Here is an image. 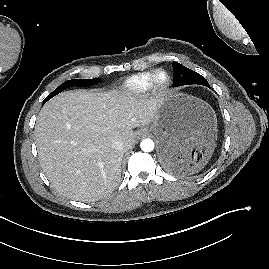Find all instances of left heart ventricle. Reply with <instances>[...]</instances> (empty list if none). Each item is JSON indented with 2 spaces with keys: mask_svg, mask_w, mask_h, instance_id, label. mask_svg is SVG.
<instances>
[{
  "mask_svg": "<svg viewBox=\"0 0 269 269\" xmlns=\"http://www.w3.org/2000/svg\"><path fill=\"white\" fill-rule=\"evenodd\" d=\"M160 79L163 80L164 79V76H160Z\"/></svg>",
  "mask_w": 269,
  "mask_h": 269,
  "instance_id": "left-heart-ventricle-1",
  "label": "left heart ventricle"
}]
</instances>
